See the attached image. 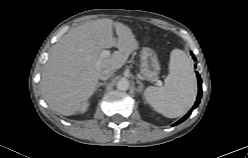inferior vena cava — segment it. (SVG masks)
<instances>
[{
  "instance_id": "obj_1",
  "label": "inferior vena cava",
  "mask_w": 248,
  "mask_h": 158,
  "mask_svg": "<svg viewBox=\"0 0 248 158\" xmlns=\"http://www.w3.org/2000/svg\"><path fill=\"white\" fill-rule=\"evenodd\" d=\"M114 71H115V69L112 67H108V68L102 70L101 73L99 74V79L107 80L108 78H110L113 75Z\"/></svg>"
}]
</instances>
